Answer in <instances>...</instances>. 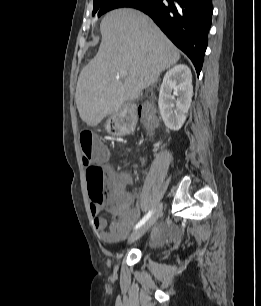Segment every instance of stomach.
Segmentation results:
<instances>
[{
  "mask_svg": "<svg viewBox=\"0 0 261 306\" xmlns=\"http://www.w3.org/2000/svg\"><path fill=\"white\" fill-rule=\"evenodd\" d=\"M113 130L116 135H125L133 131L136 119L135 117L127 112L122 111L115 115Z\"/></svg>",
  "mask_w": 261,
  "mask_h": 306,
  "instance_id": "stomach-1",
  "label": "stomach"
}]
</instances>
